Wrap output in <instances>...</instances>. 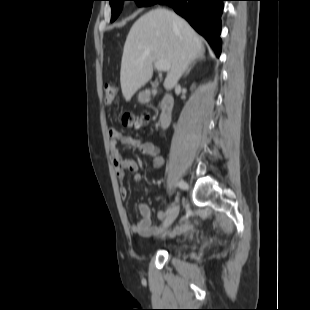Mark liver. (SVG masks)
<instances>
[{"mask_svg":"<svg viewBox=\"0 0 310 310\" xmlns=\"http://www.w3.org/2000/svg\"><path fill=\"white\" fill-rule=\"evenodd\" d=\"M203 52L200 37L175 13L157 8L144 14L131 27L123 49L120 83L125 100L152 78L154 62L170 64L164 88L171 90Z\"/></svg>","mask_w":310,"mask_h":310,"instance_id":"6515ba94","label":"liver"}]
</instances>
